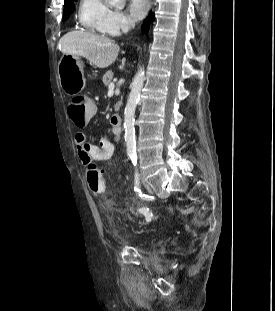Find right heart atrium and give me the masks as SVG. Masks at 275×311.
Listing matches in <instances>:
<instances>
[{"label":"right heart atrium","instance_id":"1","mask_svg":"<svg viewBox=\"0 0 275 311\" xmlns=\"http://www.w3.org/2000/svg\"><path fill=\"white\" fill-rule=\"evenodd\" d=\"M129 25L130 21L123 12L111 10L105 22V29L107 33L116 35L127 30Z\"/></svg>","mask_w":275,"mask_h":311}]
</instances>
